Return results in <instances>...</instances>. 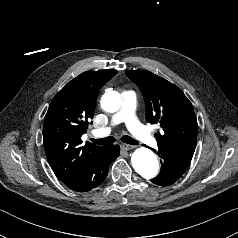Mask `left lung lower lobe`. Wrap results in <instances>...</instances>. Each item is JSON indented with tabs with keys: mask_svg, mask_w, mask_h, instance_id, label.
Returning <instances> with one entry per match:
<instances>
[{
	"mask_svg": "<svg viewBox=\"0 0 238 238\" xmlns=\"http://www.w3.org/2000/svg\"><path fill=\"white\" fill-rule=\"evenodd\" d=\"M155 151L154 149H152ZM161 160V170L151 182L157 185L169 186L177 181L188 168L192 156L167 149L158 150Z\"/></svg>",
	"mask_w": 238,
	"mask_h": 238,
	"instance_id": "obj_1",
	"label": "left lung lower lobe"
}]
</instances>
